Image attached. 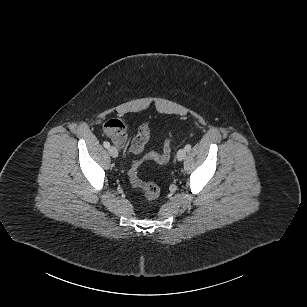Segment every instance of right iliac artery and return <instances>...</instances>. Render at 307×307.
Returning a JSON list of instances; mask_svg holds the SVG:
<instances>
[{
	"mask_svg": "<svg viewBox=\"0 0 307 307\" xmlns=\"http://www.w3.org/2000/svg\"><path fill=\"white\" fill-rule=\"evenodd\" d=\"M103 146H104L105 148H109V147H110V143L107 142V141H104V142H103Z\"/></svg>",
	"mask_w": 307,
	"mask_h": 307,
	"instance_id": "82829eb1",
	"label": "right iliac artery"
}]
</instances>
